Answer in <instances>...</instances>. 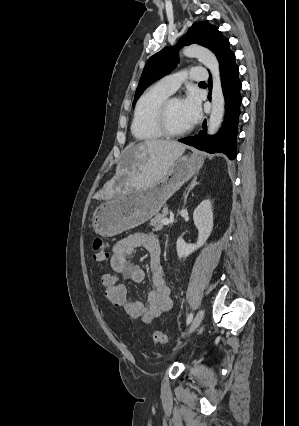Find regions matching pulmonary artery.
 <instances>
[{
    "label": "pulmonary artery",
    "instance_id": "1",
    "mask_svg": "<svg viewBox=\"0 0 299 426\" xmlns=\"http://www.w3.org/2000/svg\"><path fill=\"white\" fill-rule=\"evenodd\" d=\"M207 78V72L203 67H192L188 70L179 71L173 74L164 76L159 84L170 93L175 92L180 85L186 80L201 81Z\"/></svg>",
    "mask_w": 299,
    "mask_h": 426
}]
</instances>
